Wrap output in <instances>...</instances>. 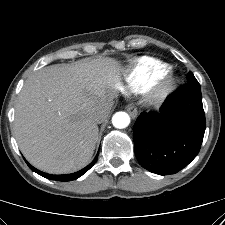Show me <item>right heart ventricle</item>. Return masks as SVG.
<instances>
[{
	"mask_svg": "<svg viewBox=\"0 0 225 225\" xmlns=\"http://www.w3.org/2000/svg\"><path fill=\"white\" fill-rule=\"evenodd\" d=\"M169 70L170 67L158 59L141 57L128 71L127 88L132 92H141L162 79Z\"/></svg>",
	"mask_w": 225,
	"mask_h": 225,
	"instance_id": "e07e8e85",
	"label": "right heart ventricle"
}]
</instances>
